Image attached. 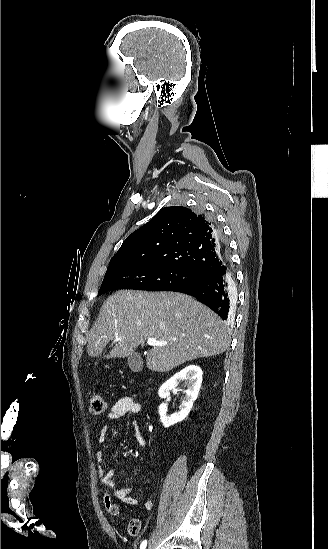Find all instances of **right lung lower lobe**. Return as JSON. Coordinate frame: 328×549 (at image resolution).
I'll return each mask as SVG.
<instances>
[{
    "mask_svg": "<svg viewBox=\"0 0 328 549\" xmlns=\"http://www.w3.org/2000/svg\"><path fill=\"white\" fill-rule=\"evenodd\" d=\"M224 261L218 270L205 274L200 279L171 291L197 297L223 320H228L230 295L231 291L234 290V280L229 269L228 258Z\"/></svg>",
    "mask_w": 328,
    "mask_h": 549,
    "instance_id": "98d812e1",
    "label": "right lung lower lobe"
}]
</instances>
